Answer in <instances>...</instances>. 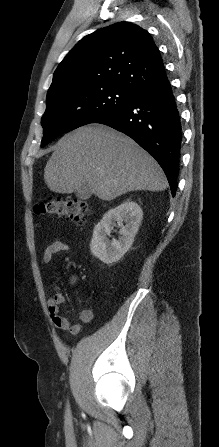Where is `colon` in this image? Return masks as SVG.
I'll use <instances>...</instances> for the list:
<instances>
[{"label": "colon", "instance_id": "1", "mask_svg": "<svg viewBox=\"0 0 219 447\" xmlns=\"http://www.w3.org/2000/svg\"><path fill=\"white\" fill-rule=\"evenodd\" d=\"M36 211L43 216L65 218L75 224H81L89 214V206L82 199L58 197L41 201Z\"/></svg>", "mask_w": 219, "mask_h": 447}]
</instances>
